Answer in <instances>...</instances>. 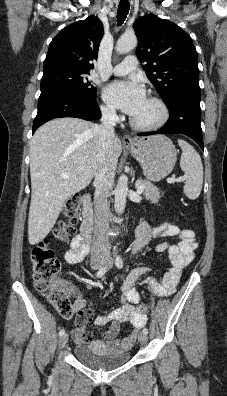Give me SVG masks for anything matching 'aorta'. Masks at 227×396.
I'll return each instance as SVG.
<instances>
[{
  "label": "aorta",
  "mask_w": 227,
  "mask_h": 396,
  "mask_svg": "<svg viewBox=\"0 0 227 396\" xmlns=\"http://www.w3.org/2000/svg\"><path fill=\"white\" fill-rule=\"evenodd\" d=\"M137 45V38L134 33L123 34L116 43V51L119 54L127 53L133 50ZM114 206L118 214H122L126 206L128 194V179L125 175L120 176L115 188Z\"/></svg>",
  "instance_id": "1"
}]
</instances>
